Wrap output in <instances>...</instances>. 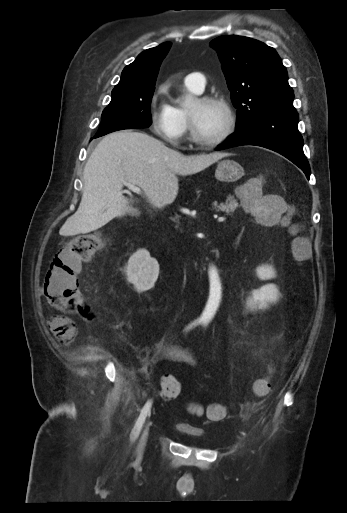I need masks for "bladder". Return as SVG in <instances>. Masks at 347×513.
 Segmentation results:
<instances>
[{
  "label": "bladder",
  "mask_w": 347,
  "mask_h": 513,
  "mask_svg": "<svg viewBox=\"0 0 347 513\" xmlns=\"http://www.w3.org/2000/svg\"><path fill=\"white\" fill-rule=\"evenodd\" d=\"M177 429L181 432V433H184V434H187V435H192V436H196V437H201L203 435V432L202 430L198 429V428H195L187 423H178L177 424ZM202 448L206 449V450H210L212 449V447L210 446H207V445H204Z\"/></svg>",
  "instance_id": "bladder-1"
}]
</instances>
